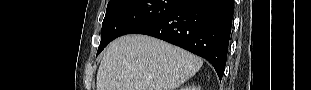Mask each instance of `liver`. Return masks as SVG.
Masks as SVG:
<instances>
[{"label":"liver","mask_w":311,"mask_h":90,"mask_svg":"<svg viewBox=\"0 0 311 90\" xmlns=\"http://www.w3.org/2000/svg\"><path fill=\"white\" fill-rule=\"evenodd\" d=\"M203 60L146 35H126L107 47L97 73V90H175L194 76Z\"/></svg>","instance_id":"6515ba94"}]
</instances>
